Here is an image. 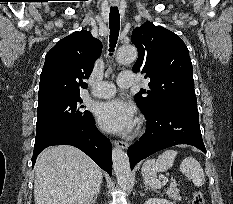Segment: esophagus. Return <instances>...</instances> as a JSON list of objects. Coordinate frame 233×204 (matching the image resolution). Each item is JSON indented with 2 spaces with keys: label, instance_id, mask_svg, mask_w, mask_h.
Listing matches in <instances>:
<instances>
[{
  "label": "esophagus",
  "instance_id": "esophagus-1",
  "mask_svg": "<svg viewBox=\"0 0 233 204\" xmlns=\"http://www.w3.org/2000/svg\"><path fill=\"white\" fill-rule=\"evenodd\" d=\"M115 146H117L118 148H121L123 150H126L128 148V143L125 141H121V140H117L114 141Z\"/></svg>",
  "mask_w": 233,
  "mask_h": 204
}]
</instances>
